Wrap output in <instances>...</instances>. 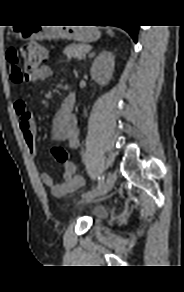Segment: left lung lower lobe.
<instances>
[{
  "instance_id": "1",
  "label": "left lung lower lobe",
  "mask_w": 184,
  "mask_h": 292,
  "mask_svg": "<svg viewBox=\"0 0 184 292\" xmlns=\"http://www.w3.org/2000/svg\"><path fill=\"white\" fill-rule=\"evenodd\" d=\"M124 30H126L130 36L133 38L135 42H137V32L139 26H121Z\"/></svg>"
}]
</instances>
